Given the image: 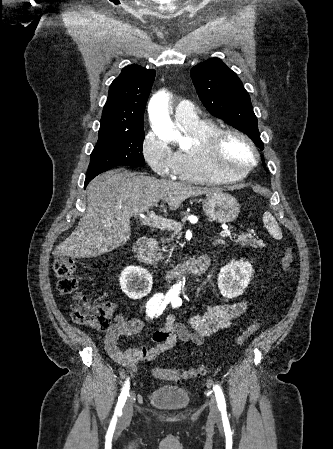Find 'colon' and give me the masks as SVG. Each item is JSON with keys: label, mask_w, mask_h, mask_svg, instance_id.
<instances>
[{"label": "colon", "mask_w": 333, "mask_h": 449, "mask_svg": "<svg viewBox=\"0 0 333 449\" xmlns=\"http://www.w3.org/2000/svg\"><path fill=\"white\" fill-rule=\"evenodd\" d=\"M281 263L286 271L291 269L294 263V254L289 247H284L281 251ZM52 269L57 278V288L61 293H73L78 288V281L75 277V261L65 256H55L52 261ZM113 313L112 304L109 302L96 303L92 299L77 295L72 304L71 317L80 324L86 325L98 331H106L111 326ZM257 321L248 325L241 335L236 339V346L243 345L258 329ZM205 372L204 367L191 368L187 370H172L155 367L152 374L160 379L180 381L199 376Z\"/></svg>", "instance_id": "colon-1"}]
</instances>
